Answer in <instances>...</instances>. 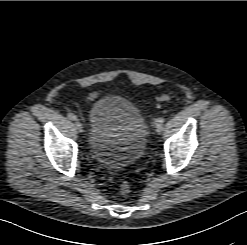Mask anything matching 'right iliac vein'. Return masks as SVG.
<instances>
[{
  "mask_svg": "<svg viewBox=\"0 0 247 245\" xmlns=\"http://www.w3.org/2000/svg\"><path fill=\"white\" fill-rule=\"evenodd\" d=\"M75 126H76V128H77V130L79 132H82L83 131V126H82V124H81V122L79 120H76Z\"/></svg>",
  "mask_w": 247,
  "mask_h": 245,
  "instance_id": "right-iliac-vein-1",
  "label": "right iliac vein"
}]
</instances>
